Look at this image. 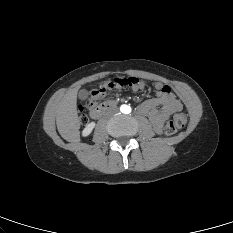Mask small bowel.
<instances>
[{
	"label": "small bowel",
	"mask_w": 233,
	"mask_h": 233,
	"mask_svg": "<svg viewBox=\"0 0 233 233\" xmlns=\"http://www.w3.org/2000/svg\"><path fill=\"white\" fill-rule=\"evenodd\" d=\"M154 87L156 89V97L141 103L138 107V111L142 115L149 117L155 132L161 133L165 121L173 113L180 111L182 109V104L168 85L157 82ZM132 88L135 91H141L145 89V84L137 81L132 85Z\"/></svg>",
	"instance_id": "small-bowel-1"
}]
</instances>
